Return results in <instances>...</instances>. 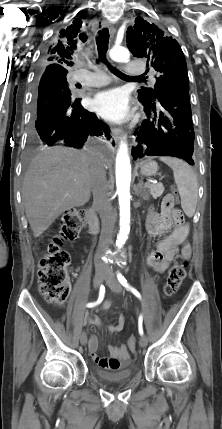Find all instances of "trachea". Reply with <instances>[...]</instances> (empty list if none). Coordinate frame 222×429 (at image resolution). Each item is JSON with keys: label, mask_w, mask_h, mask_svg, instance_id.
<instances>
[{"label": "trachea", "mask_w": 222, "mask_h": 429, "mask_svg": "<svg viewBox=\"0 0 222 429\" xmlns=\"http://www.w3.org/2000/svg\"><path fill=\"white\" fill-rule=\"evenodd\" d=\"M98 33L99 35L96 38V44H97V50L99 54V61L108 64L106 59V53L108 50V43H109V30L107 28H103V30L99 31ZM108 67L116 76L122 79H136V80L145 81V78L143 76L130 77L123 74L122 72H120L119 70H117L116 68L110 65H108Z\"/></svg>", "instance_id": "1"}]
</instances>
